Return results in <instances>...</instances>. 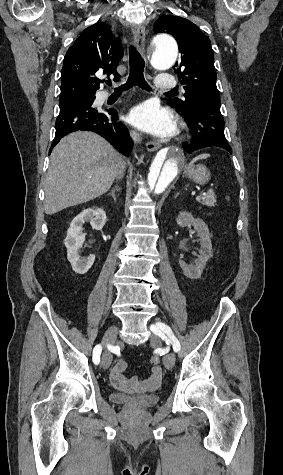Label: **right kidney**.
I'll return each instance as SVG.
<instances>
[{
    "label": "right kidney",
    "mask_w": 283,
    "mask_h": 475,
    "mask_svg": "<svg viewBox=\"0 0 283 475\" xmlns=\"http://www.w3.org/2000/svg\"><path fill=\"white\" fill-rule=\"evenodd\" d=\"M84 222H90L93 230H102L106 222V214L101 208H87L73 218L64 243L67 247V257L76 273H86L95 261L94 253L88 257H80L79 249L83 245L86 234H83Z\"/></svg>",
    "instance_id": "ca27d5eb"
}]
</instances>
